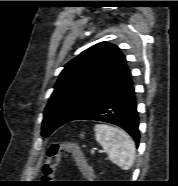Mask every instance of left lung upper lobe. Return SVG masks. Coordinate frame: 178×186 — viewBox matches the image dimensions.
Instances as JSON below:
<instances>
[{
    "label": "left lung upper lobe",
    "instance_id": "left-lung-upper-lobe-1",
    "mask_svg": "<svg viewBox=\"0 0 178 186\" xmlns=\"http://www.w3.org/2000/svg\"><path fill=\"white\" fill-rule=\"evenodd\" d=\"M125 56L110 43L95 44L65 65L44 111L42 136L102 100L131 79Z\"/></svg>",
    "mask_w": 178,
    "mask_h": 186
}]
</instances>
